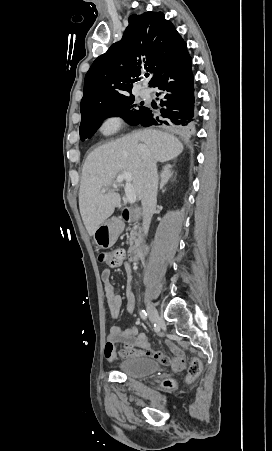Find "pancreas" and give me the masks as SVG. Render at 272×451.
Masks as SVG:
<instances>
[{"mask_svg":"<svg viewBox=\"0 0 272 451\" xmlns=\"http://www.w3.org/2000/svg\"><path fill=\"white\" fill-rule=\"evenodd\" d=\"M130 226H132V227H127V229H129V231H130L129 243H130V247H132V245H138V243H140L141 227L137 226V224H130ZM117 227H118L119 233H122V231L124 229L123 222H118Z\"/></svg>","mask_w":272,"mask_h":451,"instance_id":"obj_1","label":"pancreas"}]
</instances>
